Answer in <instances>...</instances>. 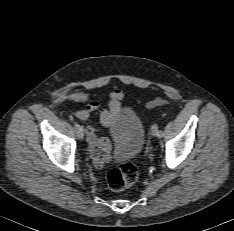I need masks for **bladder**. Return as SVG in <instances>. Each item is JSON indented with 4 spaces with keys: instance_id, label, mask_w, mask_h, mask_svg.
I'll return each instance as SVG.
<instances>
[{
    "instance_id": "31cf9c89",
    "label": "bladder",
    "mask_w": 234,
    "mask_h": 231,
    "mask_svg": "<svg viewBox=\"0 0 234 231\" xmlns=\"http://www.w3.org/2000/svg\"><path fill=\"white\" fill-rule=\"evenodd\" d=\"M111 132L121 142L122 147L117 154V160H127L137 156L144 144V126L137 114L128 107H120L111 126Z\"/></svg>"
}]
</instances>
